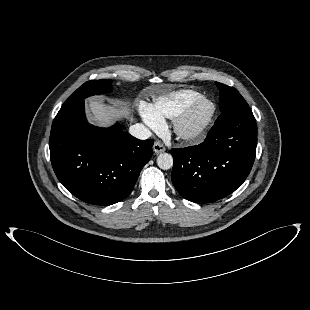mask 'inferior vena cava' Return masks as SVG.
<instances>
[{"label": "inferior vena cava", "instance_id": "obj_1", "mask_svg": "<svg viewBox=\"0 0 310 310\" xmlns=\"http://www.w3.org/2000/svg\"><path fill=\"white\" fill-rule=\"evenodd\" d=\"M129 133L141 140L148 139L152 135L151 131L147 127L139 123L130 126Z\"/></svg>", "mask_w": 310, "mask_h": 310}]
</instances>
